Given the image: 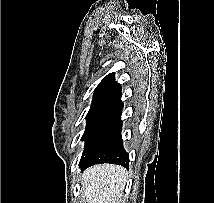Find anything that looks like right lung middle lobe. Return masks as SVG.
I'll list each match as a JSON object with an SVG mask.
<instances>
[{
	"instance_id": "1",
	"label": "right lung middle lobe",
	"mask_w": 214,
	"mask_h": 203,
	"mask_svg": "<svg viewBox=\"0 0 214 203\" xmlns=\"http://www.w3.org/2000/svg\"><path fill=\"white\" fill-rule=\"evenodd\" d=\"M115 102L110 98H93L90 110L86 116L87 125L82 140L86 138L89 131L92 129L97 120L104 114V112Z\"/></svg>"
}]
</instances>
